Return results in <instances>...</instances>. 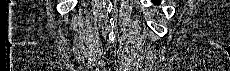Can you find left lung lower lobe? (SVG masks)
<instances>
[{"label": "left lung lower lobe", "instance_id": "0a47b994", "mask_svg": "<svg viewBox=\"0 0 230 71\" xmlns=\"http://www.w3.org/2000/svg\"><path fill=\"white\" fill-rule=\"evenodd\" d=\"M153 3L156 4V5H159L160 4V0H153Z\"/></svg>", "mask_w": 230, "mask_h": 71}]
</instances>
